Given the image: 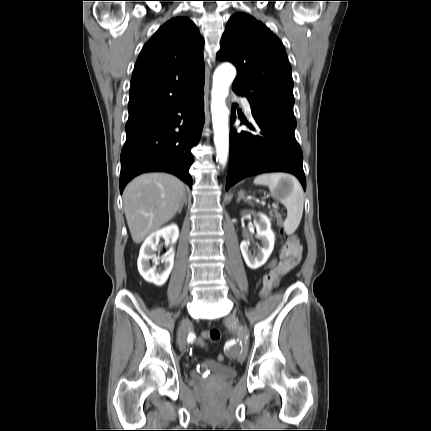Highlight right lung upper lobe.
Wrapping results in <instances>:
<instances>
[{
  "label": "right lung upper lobe",
  "mask_w": 431,
  "mask_h": 431,
  "mask_svg": "<svg viewBox=\"0 0 431 431\" xmlns=\"http://www.w3.org/2000/svg\"><path fill=\"white\" fill-rule=\"evenodd\" d=\"M203 39L184 17L169 20L144 45L131 78L129 117L171 106L204 84Z\"/></svg>",
  "instance_id": "cb5924a9"
}]
</instances>
